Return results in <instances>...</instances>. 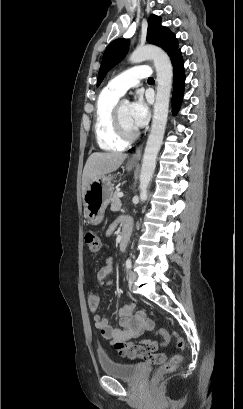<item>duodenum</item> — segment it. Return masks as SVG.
<instances>
[{
  "label": "duodenum",
  "mask_w": 243,
  "mask_h": 409,
  "mask_svg": "<svg viewBox=\"0 0 243 409\" xmlns=\"http://www.w3.org/2000/svg\"><path fill=\"white\" fill-rule=\"evenodd\" d=\"M129 235H130V230L129 229H125L122 232L120 242H119V248H120L121 251H124L126 249L127 244H128V240H129Z\"/></svg>",
  "instance_id": "410a0bca"
}]
</instances>
